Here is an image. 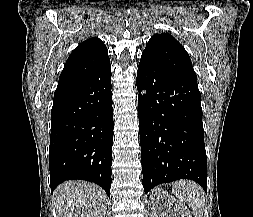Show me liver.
I'll return each instance as SVG.
<instances>
[{
	"mask_svg": "<svg viewBox=\"0 0 253 217\" xmlns=\"http://www.w3.org/2000/svg\"><path fill=\"white\" fill-rule=\"evenodd\" d=\"M58 217H105L106 195L86 181H67L54 191Z\"/></svg>",
	"mask_w": 253,
	"mask_h": 217,
	"instance_id": "6515ba94",
	"label": "liver"
}]
</instances>
